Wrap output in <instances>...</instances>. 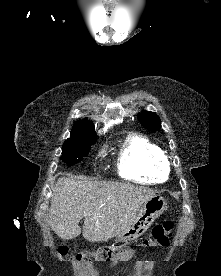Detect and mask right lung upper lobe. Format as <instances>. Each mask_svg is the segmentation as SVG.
Listing matches in <instances>:
<instances>
[{
  "label": "right lung upper lobe",
  "mask_w": 221,
  "mask_h": 276,
  "mask_svg": "<svg viewBox=\"0 0 221 276\" xmlns=\"http://www.w3.org/2000/svg\"><path fill=\"white\" fill-rule=\"evenodd\" d=\"M96 134L94 127L90 121L80 120L77 121L71 130L70 138L65 142L74 141H96Z\"/></svg>",
  "instance_id": "right-lung-upper-lobe-1"
}]
</instances>
